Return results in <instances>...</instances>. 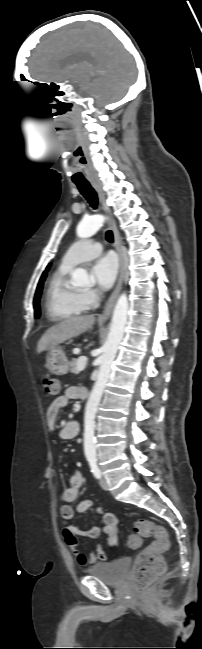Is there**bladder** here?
Returning a JSON list of instances; mask_svg holds the SVG:
<instances>
[{"label":"bladder","instance_id":"obj_1","mask_svg":"<svg viewBox=\"0 0 202 649\" xmlns=\"http://www.w3.org/2000/svg\"><path fill=\"white\" fill-rule=\"evenodd\" d=\"M130 567L128 558H119L110 562H99L88 568L87 573L109 585H118L124 581Z\"/></svg>","mask_w":202,"mask_h":649}]
</instances>
